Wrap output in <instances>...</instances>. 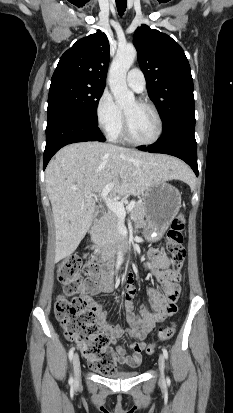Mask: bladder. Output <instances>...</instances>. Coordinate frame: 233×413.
<instances>
[{
    "label": "bladder",
    "instance_id": "bladder-1",
    "mask_svg": "<svg viewBox=\"0 0 233 413\" xmlns=\"http://www.w3.org/2000/svg\"><path fill=\"white\" fill-rule=\"evenodd\" d=\"M139 375L138 371H117L113 372L110 374H106V378L108 379H114V380H124V379H130V378H135Z\"/></svg>",
    "mask_w": 233,
    "mask_h": 413
}]
</instances>
